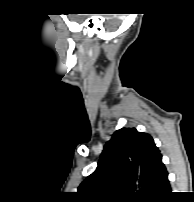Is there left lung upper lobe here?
I'll return each mask as SVG.
<instances>
[{
    "mask_svg": "<svg viewBox=\"0 0 194 202\" xmlns=\"http://www.w3.org/2000/svg\"><path fill=\"white\" fill-rule=\"evenodd\" d=\"M164 167L149 134L122 128L106 143L98 167L81 183L78 194L88 202L151 198ZM135 181L142 186L138 193L134 192Z\"/></svg>",
    "mask_w": 194,
    "mask_h": 202,
    "instance_id": "left-lung-upper-lobe-1",
    "label": "left lung upper lobe"
}]
</instances>
